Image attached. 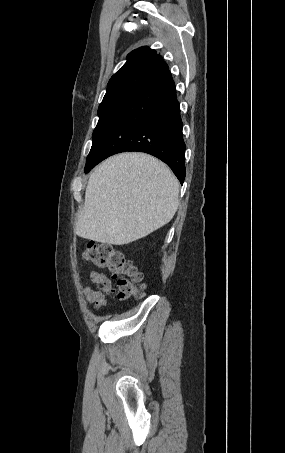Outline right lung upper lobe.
Masks as SVG:
<instances>
[{
	"mask_svg": "<svg viewBox=\"0 0 285 453\" xmlns=\"http://www.w3.org/2000/svg\"><path fill=\"white\" fill-rule=\"evenodd\" d=\"M168 70L161 55L149 47H140L130 52L127 62L115 73L107 85L102 103L114 98L133 95L149 80Z\"/></svg>",
	"mask_w": 285,
	"mask_h": 453,
	"instance_id": "right-lung-upper-lobe-1",
	"label": "right lung upper lobe"
}]
</instances>
